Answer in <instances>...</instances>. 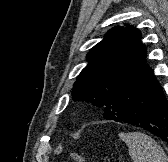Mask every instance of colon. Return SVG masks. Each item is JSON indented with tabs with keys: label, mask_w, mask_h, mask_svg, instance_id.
Instances as JSON below:
<instances>
[{
	"label": "colon",
	"mask_w": 168,
	"mask_h": 162,
	"mask_svg": "<svg viewBox=\"0 0 168 162\" xmlns=\"http://www.w3.org/2000/svg\"><path fill=\"white\" fill-rule=\"evenodd\" d=\"M70 162H85V158L80 154H72Z\"/></svg>",
	"instance_id": "colon-1"
}]
</instances>
